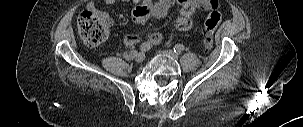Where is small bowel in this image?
<instances>
[{
	"mask_svg": "<svg viewBox=\"0 0 303 127\" xmlns=\"http://www.w3.org/2000/svg\"><path fill=\"white\" fill-rule=\"evenodd\" d=\"M103 2L106 5H113L117 2L133 4L132 19L140 25H144L149 19L165 18L171 7L178 3L181 8L175 19V26L181 31H188L193 27L194 16L198 10L219 7L217 0H103ZM87 9L95 11V3L89 2ZM99 14L107 24H112V20L107 13L100 12ZM142 41L150 45H158L162 41V36L158 32H151L144 39L140 33H131L124 38L123 42L125 46H134Z\"/></svg>",
	"mask_w": 303,
	"mask_h": 127,
	"instance_id": "small-bowel-1",
	"label": "small bowel"
}]
</instances>
